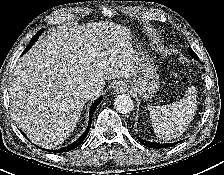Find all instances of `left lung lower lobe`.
Segmentation results:
<instances>
[{"label":"left lung lower lobe","instance_id":"0a47b994","mask_svg":"<svg viewBox=\"0 0 224 175\" xmlns=\"http://www.w3.org/2000/svg\"><path fill=\"white\" fill-rule=\"evenodd\" d=\"M138 141L143 144L144 146L146 147H149V148H154V149H159V148H166V147H172L174 146L175 144L179 143V142H175V143H166V144H160V143H155V142H150V141H146V140H143L141 138H137Z\"/></svg>","mask_w":224,"mask_h":175}]
</instances>
